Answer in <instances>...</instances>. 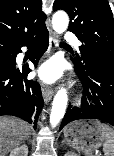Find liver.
Wrapping results in <instances>:
<instances>
[{
	"label": "liver",
	"mask_w": 114,
	"mask_h": 156,
	"mask_svg": "<svg viewBox=\"0 0 114 156\" xmlns=\"http://www.w3.org/2000/svg\"><path fill=\"white\" fill-rule=\"evenodd\" d=\"M31 134V126L15 117H0V156L22 144Z\"/></svg>",
	"instance_id": "liver-1"
}]
</instances>
